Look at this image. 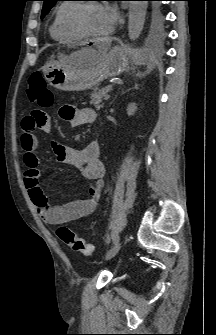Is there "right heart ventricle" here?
<instances>
[{"label":"right heart ventricle","mask_w":216,"mask_h":335,"mask_svg":"<svg viewBox=\"0 0 216 335\" xmlns=\"http://www.w3.org/2000/svg\"><path fill=\"white\" fill-rule=\"evenodd\" d=\"M77 4L63 2L55 10L49 32L51 37L61 43L73 42L83 37L70 23L71 14Z\"/></svg>","instance_id":"1"}]
</instances>
